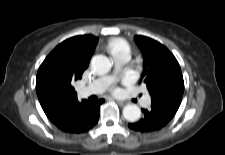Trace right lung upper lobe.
I'll return each instance as SVG.
<instances>
[{
  "label": "right lung upper lobe",
  "instance_id": "cb5924a9",
  "mask_svg": "<svg viewBox=\"0 0 225 155\" xmlns=\"http://www.w3.org/2000/svg\"><path fill=\"white\" fill-rule=\"evenodd\" d=\"M98 38L75 36L60 43L39 67L36 91L46 116L51 119L62 109L79 103L73 83L88 67Z\"/></svg>",
  "mask_w": 225,
  "mask_h": 155
}]
</instances>
